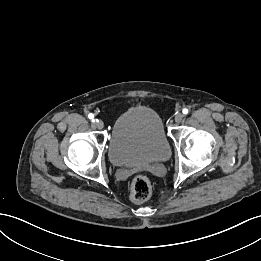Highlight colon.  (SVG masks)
Here are the masks:
<instances>
[{
	"mask_svg": "<svg viewBox=\"0 0 261 261\" xmlns=\"http://www.w3.org/2000/svg\"><path fill=\"white\" fill-rule=\"evenodd\" d=\"M151 182L145 175H137L133 178L130 186V198L134 202H144L151 195Z\"/></svg>",
	"mask_w": 261,
	"mask_h": 261,
	"instance_id": "colon-1",
	"label": "colon"
}]
</instances>
